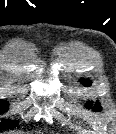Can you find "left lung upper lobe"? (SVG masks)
Returning a JSON list of instances; mask_svg holds the SVG:
<instances>
[{
	"instance_id": "obj_1",
	"label": "left lung upper lobe",
	"mask_w": 116,
	"mask_h": 134,
	"mask_svg": "<svg viewBox=\"0 0 116 134\" xmlns=\"http://www.w3.org/2000/svg\"><path fill=\"white\" fill-rule=\"evenodd\" d=\"M80 81L84 86H88L90 84V81L86 80V79H81ZM86 107L90 109L92 107V102H87ZM100 110H101V106H100L99 102H96L95 105L93 106V111L98 112Z\"/></svg>"
}]
</instances>
